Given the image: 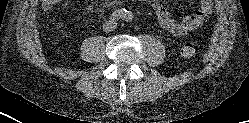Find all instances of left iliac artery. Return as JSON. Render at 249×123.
I'll return each instance as SVG.
<instances>
[{"mask_svg": "<svg viewBox=\"0 0 249 123\" xmlns=\"http://www.w3.org/2000/svg\"><path fill=\"white\" fill-rule=\"evenodd\" d=\"M124 20L126 22H129L132 20V14L130 12H126L125 16H124Z\"/></svg>", "mask_w": 249, "mask_h": 123, "instance_id": "obj_1", "label": "left iliac artery"}]
</instances>
